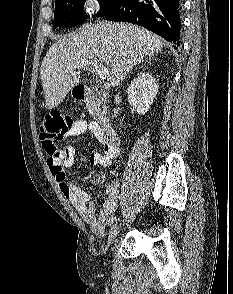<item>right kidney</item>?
<instances>
[{
	"instance_id": "ca27d5eb",
	"label": "right kidney",
	"mask_w": 233,
	"mask_h": 294,
	"mask_svg": "<svg viewBox=\"0 0 233 294\" xmlns=\"http://www.w3.org/2000/svg\"><path fill=\"white\" fill-rule=\"evenodd\" d=\"M157 92V80L148 72L138 73L128 86V102L143 115L151 107Z\"/></svg>"
}]
</instances>
